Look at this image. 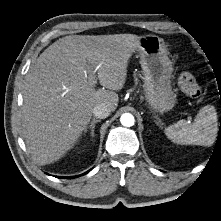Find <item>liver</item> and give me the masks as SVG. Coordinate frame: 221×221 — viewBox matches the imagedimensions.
I'll use <instances>...</instances> for the list:
<instances>
[{
    "label": "liver",
    "instance_id": "6515ba94",
    "mask_svg": "<svg viewBox=\"0 0 221 221\" xmlns=\"http://www.w3.org/2000/svg\"><path fill=\"white\" fill-rule=\"evenodd\" d=\"M139 40L133 34L66 36L30 66L23 90L22 134L37 164L65 155L89 124L96 105L116 110L115 91L125 84L128 61ZM94 68L102 89L91 85Z\"/></svg>",
    "mask_w": 221,
    "mask_h": 221
}]
</instances>
